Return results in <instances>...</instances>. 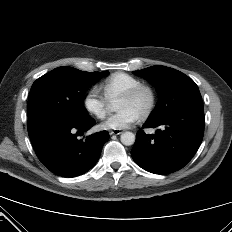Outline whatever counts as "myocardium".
Returning <instances> with one entry per match:
<instances>
[{
    "mask_svg": "<svg viewBox=\"0 0 232 232\" xmlns=\"http://www.w3.org/2000/svg\"><path fill=\"white\" fill-rule=\"evenodd\" d=\"M143 92H147L149 94L148 105L140 115V117L144 119L147 118L153 112L157 103V94L155 89L151 85L141 83L128 90L127 92L123 93L118 99L133 100Z\"/></svg>",
    "mask_w": 232,
    "mask_h": 232,
    "instance_id": "1",
    "label": "myocardium"
}]
</instances>
